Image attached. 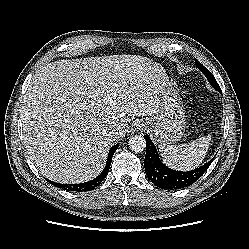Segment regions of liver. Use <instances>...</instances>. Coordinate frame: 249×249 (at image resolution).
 Returning <instances> with one entry per match:
<instances>
[{
    "label": "liver",
    "mask_w": 249,
    "mask_h": 249,
    "mask_svg": "<svg viewBox=\"0 0 249 249\" xmlns=\"http://www.w3.org/2000/svg\"><path fill=\"white\" fill-rule=\"evenodd\" d=\"M168 77L139 55L59 60L38 70L22 105L23 139L47 179L81 183L97 177L113 141L134 116L154 115ZM119 129L116 137L109 133Z\"/></svg>",
    "instance_id": "1"
}]
</instances>
